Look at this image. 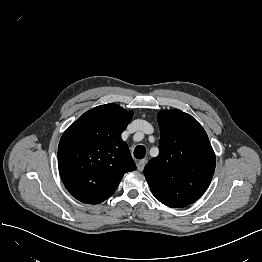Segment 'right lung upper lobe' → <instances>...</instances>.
<instances>
[{
  "mask_svg": "<svg viewBox=\"0 0 262 262\" xmlns=\"http://www.w3.org/2000/svg\"><path fill=\"white\" fill-rule=\"evenodd\" d=\"M133 113L116 104L85 112L62 135L58 147L61 179L77 200L98 204L111 196L136 165L121 133Z\"/></svg>",
  "mask_w": 262,
  "mask_h": 262,
  "instance_id": "right-lung-upper-lobe-1",
  "label": "right lung upper lobe"
}]
</instances>
